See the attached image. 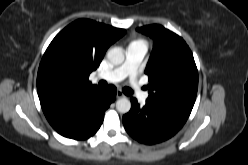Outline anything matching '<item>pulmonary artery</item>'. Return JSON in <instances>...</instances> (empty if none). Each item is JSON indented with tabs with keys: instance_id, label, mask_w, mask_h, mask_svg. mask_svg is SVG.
<instances>
[{
	"instance_id": "e3ab8cb5",
	"label": "pulmonary artery",
	"mask_w": 248,
	"mask_h": 165,
	"mask_svg": "<svg viewBox=\"0 0 248 165\" xmlns=\"http://www.w3.org/2000/svg\"><path fill=\"white\" fill-rule=\"evenodd\" d=\"M146 52L147 47L143 42L135 41L130 43L127 47L123 64L108 73L100 75L99 78L115 83L129 77L133 92L137 95L140 101L145 102L149 97V93L142 90L136 79V73Z\"/></svg>"
}]
</instances>
